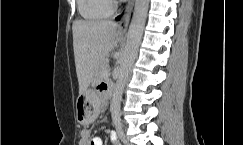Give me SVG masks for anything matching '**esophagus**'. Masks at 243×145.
I'll use <instances>...</instances> for the list:
<instances>
[{"mask_svg":"<svg viewBox=\"0 0 243 145\" xmlns=\"http://www.w3.org/2000/svg\"><path fill=\"white\" fill-rule=\"evenodd\" d=\"M134 3H135V0H129V2L125 8L124 14L121 18V21L119 23V30H121V31L127 30Z\"/></svg>","mask_w":243,"mask_h":145,"instance_id":"esophagus-1","label":"esophagus"}]
</instances>
